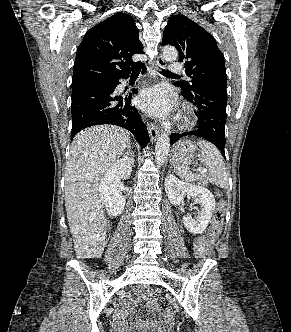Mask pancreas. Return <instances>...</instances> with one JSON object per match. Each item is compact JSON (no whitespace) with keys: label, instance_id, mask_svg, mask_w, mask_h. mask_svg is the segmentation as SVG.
Instances as JSON below:
<instances>
[{"label":"pancreas","instance_id":"cf45deb5","mask_svg":"<svg viewBox=\"0 0 291 332\" xmlns=\"http://www.w3.org/2000/svg\"><path fill=\"white\" fill-rule=\"evenodd\" d=\"M201 182L203 185H206V186L208 185V182L206 181V178H204V177L201 178Z\"/></svg>","mask_w":291,"mask_h":332}]
</instances>
